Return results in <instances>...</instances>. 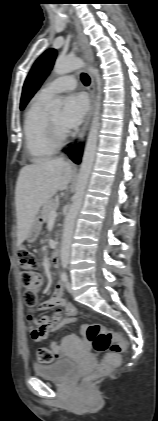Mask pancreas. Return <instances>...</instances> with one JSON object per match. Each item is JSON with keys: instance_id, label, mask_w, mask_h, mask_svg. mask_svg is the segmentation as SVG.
Wrapping results in <instances>:
<instances>
[{"instance_id": "1", "label": "pancreas", "mask_w": 158, "mask_h": 421, "mask_svg": "<svg viewBox=\"0 0 158 421\" xmlns=\"http://www.w3.org/2000/svg\"><path fill=\"white\" fill-rule=\"evenodd\" d=\"M56 208H57V202L54 199H50L43 204L41 215L44 222H46L50 218V212L52 210H55Z\"/></svg>"}]
</instances>
